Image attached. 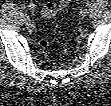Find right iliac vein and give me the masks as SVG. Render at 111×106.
I'll return each instance as SVG.
<instances>
[{"mask_svg":"<svg viewBox=\"0 0 111 106\" xmlns=\"http://www.w3.org/2000/svg\"><path fill=\"white\" fill-rule=\"evenodd\" d=\"M24 22L26 25H29L30 24V19H24Z\"/></svg>","mask_w":111,"mask_h":106,"instance_id":"obj_1","label":"right iliac vein"}]
</instances>
